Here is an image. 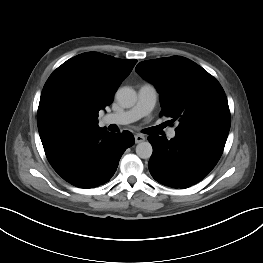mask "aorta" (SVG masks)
I'll use <instances>...</instances> for the list:
<instances>
[{"label": "aorta", "instance_id": "762f6f07", "mask_svg": "<svg viewBox=\"0 0 263 263\" xmlns=\"http://www.w3.org/2000/svg\"><path fill=\"white\" fill-rule=\"evenodd\" d=\"M118 103L124 108H130L137 101V94L130 87H122L116 92ZM153 153L152 145L149 142H140L136 146V154L142 159H149Z\"/></svg>", "mask_w": 263, "mask_h": 263}]
</instances>
